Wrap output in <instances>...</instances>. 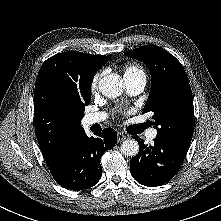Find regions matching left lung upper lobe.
Here are the masks:
<instances>
[{"label":"left lung upper lobe","instance_id":"left-lung-upper-lobe-1","mask_svg":"<svg viewBox=\"0 0 221 221\" xmlns=\"http://www.w3.org/2000/svg\"><path fill=\"white\" fill-rule=\"evenodd\" d=\"M143 61L151 73V89L144 112H153L157 137L189 147L194 131L192 91L181 63L155 45L125 53Z\"/></svg>","mask_w":221,"mask_h":221}]
</instances>
